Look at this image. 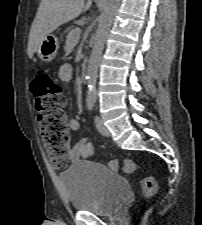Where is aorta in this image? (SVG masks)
Instances as JSON below:
<instances>
[{"mask_svg": "<svg viewBox=\"0 0 202 225\" xmlns=\"http://www.w3.org/2000/svg\"><path fill=\"white\" fill-rule=\"evenodd\" d=\"M121 0H105L87 68V101L97 98L96 81L104 45Z\"/></svg>", "mask_w": 202, "mask_h": 225, "instance_id": "aorta-1", "label": "aorta"}]
</instances>
